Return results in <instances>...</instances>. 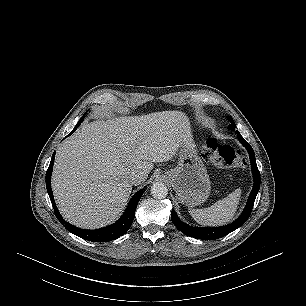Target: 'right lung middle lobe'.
<instances>
[{"instance_id":"obj_1","label":"right lung middle lobe","mask_w":306,"mask_h":306,"mask_svg":"<svg viewBox=\"0 0 306 306\" xmlns=\"http://www.w3.org/2000/svg\"><path fill=\"white\" fill-rule=\"evenodd\" d=\"M87 112L84 113V115L81 117L80 121L77 123V125L75 127H79V125L81 124V122L84 120L85 115Z\"/></svg>"}]
</instances>
